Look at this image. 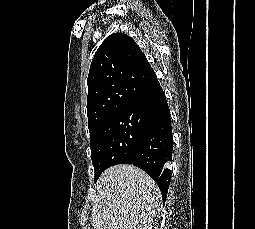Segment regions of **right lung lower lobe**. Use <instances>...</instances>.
Returning <instances> with one entry per match:
<instances>
[{
	"label": "right lung lower lobe",
	"instance_id": "obj_1",
	"mask_svg": "<svg viewBox=\"0 0 255 229\" xmlns=\"http://www.w3.org/2000/svg\"><path fill=\"white\" fill-rule=\"evenodd\" d=\"M126 109L143 120L136 153L128 164L141 168L155 180L165 202L171 181L173 136L170 109L158 79L143 98Z\"/></svg>",
	"mask_w": 255,
	"mask_h": 229
}]
</instances>
